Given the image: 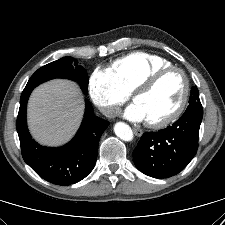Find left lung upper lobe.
<instances>
[{
	"label": "left lung upper lobe",
	"mask_w": 225,
	"mask_h": 225,
	"mask_svg": "<svg viewBox=\"0 0 225 225\" xmlns=\"http://www.w3.org/2000/svg\"><path fill=\"white\" fill-rule=\"evenodd\" d=\"M195 102H200V99H199V92H198V89L196 86H194L191 90V96H190V99H189V103H195Z\"/></svg>",
	"instance_id": "left-lung-upper-lobe-1"
}]
</instances>
